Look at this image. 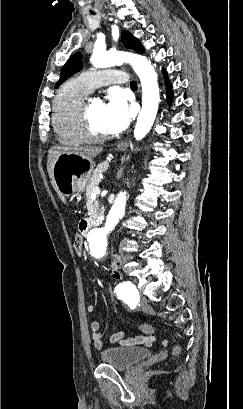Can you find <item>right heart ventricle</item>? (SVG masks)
I'll return each mask as SVG.
<instances>
[{
	"label": "right heart ventricle",
	"instance_id": "right-heart-ventricle-1",
	"mask_svg": "<svg viewBox=\"0 0 243 409\" xmlns=\"http://www.w3.org/2000/svg\"><path fill=\"white\" fill-rule=\"evenodd\" d=\"M90 91L80 77L65 81L58 89L52 104V125L61 143L77 146L86 141L79 109Z\"/></svg>",
	"mask_w": 243,
	"mask_h": 409
}]
</instances>
